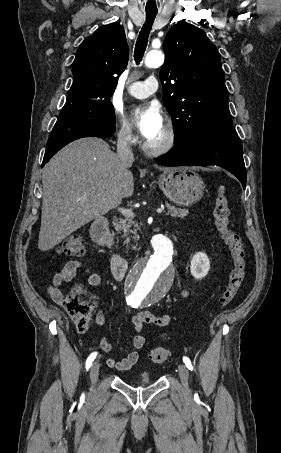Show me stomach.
Here are the masks:
<instances>
[{"label": "stomach", "mask_w": 281, "mask_h": 453, "mask_svg": "<svg viewBox=\"0 0 281 453\" xmlns=\"http://www.w3.org/2000/svg\"><path fill=\"white\" fill-rule=\"evenodd\" d=\"M159 186L165 196L181 206H191L204 194V182L191 166H173L160 174Z\"/></svg>", "instance_id": "obj_1"}]
</instances>
